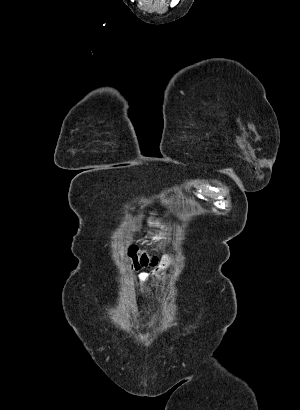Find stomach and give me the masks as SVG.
<instances>
[{
	"instance_id": "0dacf381",
	"label": "stomach",
	"mask_w": 300,
	"mask_h": 410,
	"mask_svg": "<svg viewBox=\"0 0 300 410\" xmlns=\"http://www.w3.org/2000/svg\"><path fill=\"white\" fill-rule=\"evenodd\" d=\"M148 225L150 227H156L159 228L160 230H166L168 226L162 222V219L157 216V214H152V216L148 219ZM152 236H161L163 233L161 231L156 232H150Z\"/></svg>"
}]
</instances>
